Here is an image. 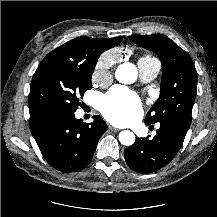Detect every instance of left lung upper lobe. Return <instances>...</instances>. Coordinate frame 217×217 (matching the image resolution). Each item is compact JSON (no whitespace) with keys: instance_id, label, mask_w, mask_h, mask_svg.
Instances as JSON below:
<instances>
[{"instance_id":"left-lung-upper-lobe-1","label":"left lung upper lobe","mask_w":217,"mask_h":217,"mask_svg":"<svg viewBox=\"0 0 217 217\" xmlns=\"http://www.w3.org/2000/svg\"><path fill=\"white\" fill-rule=\"evenodd\" d=\"M130 40L156 53L163 66L160 97L144 121L152 124L173 119L190 126L197 88V71L190 56L161 34L136 35Z\"/></svg>"}]
</instances>
